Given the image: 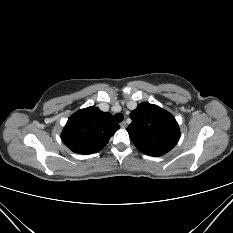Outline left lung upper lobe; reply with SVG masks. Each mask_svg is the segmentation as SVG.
<instances>
[{
    "label": "left lung upper lobe",
    "instance_id": "5c2ea615",
    "mask_svg": "<svg viewBox=\"0 0 233 233\" xmlns=\"http://www.w3.org/2000/svg\"><path fill=\"white\" fill-rule=\"evenodd\" d=\"M127 128L135 146L144 154L161 156L169 152L180 138L175 118L157 105L142 103L130 114Z\"/></svg>",
    "mask_w": 233,
    "mask_h": 233
}]
</instances>
